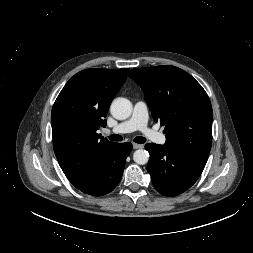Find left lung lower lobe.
I'll list each match as a JSON object with an SVG mask.
<instances>
[{
  "mask_svg": "<svg viewBox=\"0 0 253 253\" xmlns=\"http://www.w3.org/2000/svg\"><path fill=\"white\" fill-rule=\"evenodd\" d=\"M150 154L147 171L155 189L164 196H176L188 190L205 165L168 150L164 145H145Z\"/></svg>",
  "mask_w": 253,
  "mask_h": 253,
  "instance_id": "0a47b994",
  "label": "left lung lower lobe"
}]
</instances>
